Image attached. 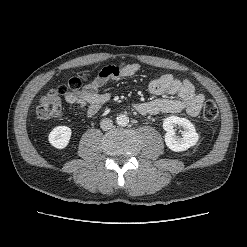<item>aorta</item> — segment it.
<instances>
[{"label":"aorta","mask_w":247,"mask_h":247,"mask_svg":"<svg viewBox=\"0 0 247 247\" xmlns=\"http://www.w3.org/2000/svg\"><path fill=\"white\" fill-rule=\"evenodd\" d=\"M116 123L119 126H126L129 123V118L127 115L125 114H120L119 116H117L116 118Z\"/></svg>","instance_id":"obj_1"}]
</instances>
